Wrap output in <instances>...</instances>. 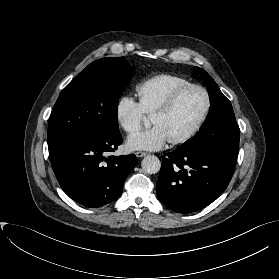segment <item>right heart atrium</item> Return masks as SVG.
Masks as SVG:
<instances>
[{"instance_id":"right-heart-atrium-1","label":"right heart atrium","mask_w":279,"mask_h":279,"mask_svg":"<svg viewBox=\"0 0 279 279\" xmlns=\"http://www.w3.org/2000/svg\"><path fill=\"white\" fill-rule=\"evenodd\" d=\"M145 113L139 102L128 95H122L115 105V119L118 126L128 135L137 132L144 119Z\"/></svg>"}]
</instances>
